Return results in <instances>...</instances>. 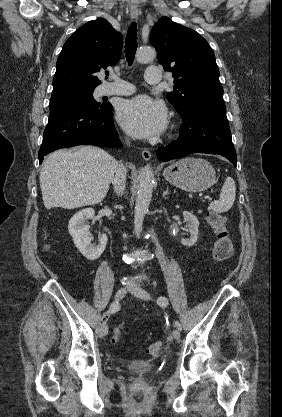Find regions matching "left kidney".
I'll use <instances>...</instances> for the list:
<instances>
[{
	"instance_id": "obj_1",
	"label": "left kidney",
	"mask_w": 282,
	"mask_h": 417,
	"mask_svg": "<svg viewBox=\"0 0 282 417\" xmlns=\"http://www.w3.org/2000/svg\"><path fill=\"white\" fill-rule=\"evenodd\" d=\"M183 217L188 233H190V239H181V243L182 245H185V247H193L198 239L199 221L192 213H189V211H183Z\"/></svg>"
}]
</instances>
